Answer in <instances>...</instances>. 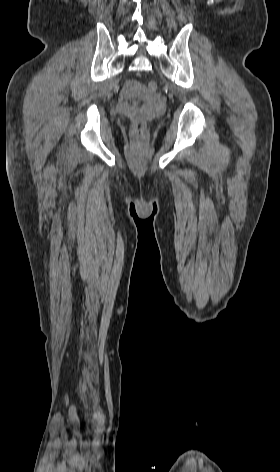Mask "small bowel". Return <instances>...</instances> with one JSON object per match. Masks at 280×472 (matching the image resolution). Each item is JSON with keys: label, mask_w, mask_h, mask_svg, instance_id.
Here are the masks:
<instances>
[{"label": "small bowel", "mask_w": 280, "mask_h": 472, "mask_svg": "<svg viewBox=\"0 0 280 472\" xmlns=\"http://www.w3.org/2000/svg\"><path fill=\"white\" fill-rule=\"evenodd\" d=\"M139 89H140L139 83L135 80H131V81H128L125 84L124 92L126 94H133V93L137 92Z\"/></svg>", "instance_id": "1"}]
</instances>
